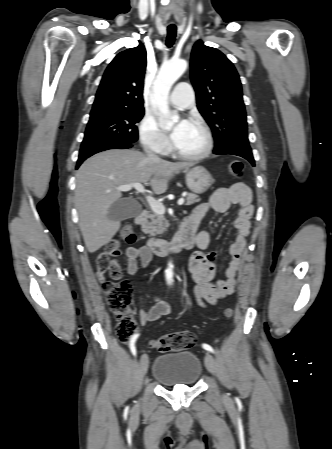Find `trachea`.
<instances>
[{"label":"trachea","mask_w":332,"mask_h":449,"mask_svg":"<svg viewBox=\"0 0 332 449\" xmlns=\"http://www.w3.org/2000/svg\"><path fill=\"white\" fill-rule=\"evenodd\" d=\"M176 26L171 25L167 27V39H166V46L168 48L172 47L174 42H175V38H176Z\"/></svg>","instance_id":"obj_1"}]
</instances>
